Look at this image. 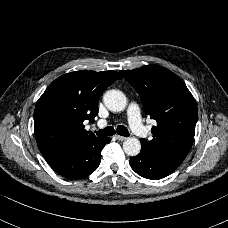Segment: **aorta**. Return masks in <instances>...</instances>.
<instances>
[{
    "label": "aorta",
    "mask_w": 228,
    "mask_h": 228,
    "mask_svg": "<svg viewBox=\"0 0 228 228\" xmlns=\"http://www.w3.org/2000/svg\"><path fill=\"white\" fill-rule=\"evenodd\" d=\"M102 101L110 111H121L126 106V97L123 92L110 89L103 95ZM141 144L136 138H127L123 143V150L129 156L140 153Z\"/></svg>",
    "instance_id": "762f6f07"
}]
</instances>
